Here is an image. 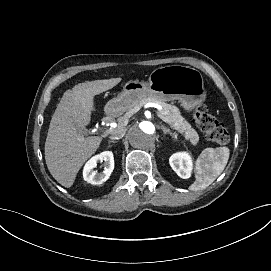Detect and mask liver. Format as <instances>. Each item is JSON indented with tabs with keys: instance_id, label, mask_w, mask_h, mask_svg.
I'll use <instances>...</instances> for the list:
<instances>
[{
	"instance_id": "1",
	"label": "liver",
	"mask_w": 271,
	"mask_h": 271,
	"mask_svg": "<svg viewBox=\"0 0 271 271\" xmlns=\"http://www.w3.org/2000/svg\"><path fill=\"white\" fill-rule=\"evenodd\" d=\"M122 81L121 77L83 82L67 90L52 116L45 142V160L53 178L71 188L83 164L97 151L103 137H83L97 112L95 97Z\"/></svg>"
}]
</instances>
